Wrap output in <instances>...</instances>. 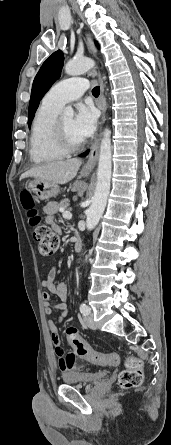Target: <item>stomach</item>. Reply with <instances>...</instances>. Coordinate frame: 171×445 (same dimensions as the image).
Returning <instances> with one entry per match:
<instances>
[{
	"mask_svg": "<svg viewBox=\"0 0 171 445\" xmlns=\"http://www.w3.org/2000/svg\"><path fill=\"white\" fill-rule=\"evenodd\" d=\"M26 188L35 194L40 200H48L55 197L60 188L58 184L47 182L41 179L30 180L26 183Z\"/></svg>",
	"mask_w": 171,
	"mask_h": 445,
	"instance_id": "obj_1",
	"label": "stomach"
}]
</instances>
